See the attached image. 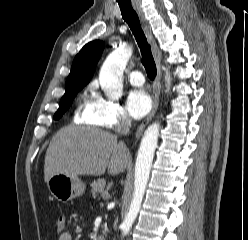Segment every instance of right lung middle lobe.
I'll return each instance as SVG.
<instances>
[{
	"instance_id": "obj_1",
	"label": "right lung middle lobe",
	"mask_w": 248,
	"mask_h": 240,
	"mask_svg": "<svg viewBox=\"0 0 248 240\" xmlns=\"http://www.w3.org/2000/svg\"><path fill=\"white\" fill-rule=\"evenodd\" d=\"M84 87L83 84H81L78 81H71L69 83H66L65 85V94L61 98L59 109L54 115V119H59L62 117V115L66 112V110L71 105L74 97L76 96L77 92L80 91Z\"/></svg>"
}]
</instances>
